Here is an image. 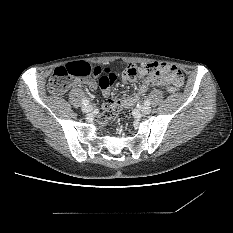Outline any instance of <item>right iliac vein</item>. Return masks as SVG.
<instances>
[{"label":"right iliac vein","mask_w":233,"mask_h":233,"mask_svg":"<svg viewBox=\"0 0 233 233\" xmlns=\"http://www.w3.org/2000/svg\"><path fill=\"white\" fill-rule=\"evenodd\" d=\"M82 111L84 113H91L93 111V107L91 105L84 106V107H82Z\"/></svg>","instance_id":"63e3f726"}]
</instances>
